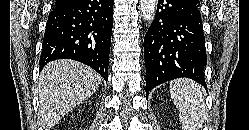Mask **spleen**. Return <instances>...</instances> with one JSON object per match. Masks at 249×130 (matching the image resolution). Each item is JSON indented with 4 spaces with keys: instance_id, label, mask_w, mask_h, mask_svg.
Wrapping results in <instances>:
<instances>
[{
    "instance_id": "spleen-1",
    "label": "spleen",
    "mask_w": 249,
    "mask_h": 130,
    "mask_svg": "<svg viewBox=\"0 0 249 130\" xmlns=\"http://www.w3.org/2000/svg\"><path fill=\"white\" fill-rule=\"evenodd\" d=\"M170 95L179 111L183 130H199L206 118L200 85L188 78L176 79L170 82Z\"/></svg>"
}]
</instances>
